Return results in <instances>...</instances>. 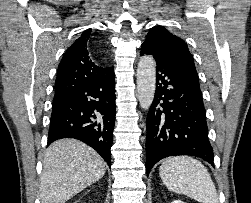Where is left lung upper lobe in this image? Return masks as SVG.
Returning a JSON list of instances; mask_svg holds the SVG:
<instances>
[{
    "label": "left lung upper lobe",
    "instance_id": "5c2ea615",
    "mask_svg": "<svg viewBox=\"0 0 251 203\" xmlns=\"http://www.w3.org/2000/svg\"><path fill=\"white\" fill-rule=\"evenodd\" d=\"M142 46L148 47L154 54L160 57L168 58L179 63L198 78L193 57L186 43L181 38L170 33L163 26H154L149 31Z\"/></svg>",
    "mask_w": 251,
    "mask_h": 203
}]
</instances>
